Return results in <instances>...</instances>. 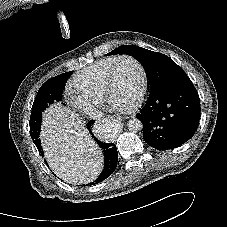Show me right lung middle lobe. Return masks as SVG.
<instances>
[{"label": "right lung middle lobe", "instance_id": "right-lung-middle-lobe-1", "mask_svg": "<svg viewBox=\"0 0 227 227\" xmlns=\"http://www.w3.org/2000/svg\"><path fill=\"white\" fill-rule=\"evenodd\" d=\"M70 72L63 73L46 81L39 89L34 100L30 116V136L38 151L43 154L39 138L42 111L54 101L62 99L63 87L68 80Z\"/></svg>", "mask_w": 227, "mask_h": 227}]
</instances>
